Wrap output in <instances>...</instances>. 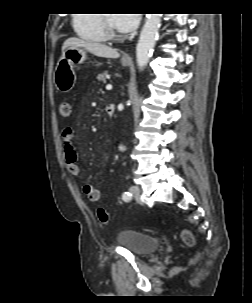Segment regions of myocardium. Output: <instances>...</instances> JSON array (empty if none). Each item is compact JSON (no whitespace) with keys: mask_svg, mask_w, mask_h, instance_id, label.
Segmentation results:
<instances>
[{"mask_svg":"<svg viewBox=\"0 0 252 303\" xmlns=\"http://www.w3.org/2000/svg\"><path fill=\"white\" fill-rule=\"evenodd\" d=\"M102 27L107 38H120L121 34L113 28L107 14H101Z\"/></svg>","mask_w":252,"mask_h":303,"instance_id":"f54148a6","label":"myocardium"}]
</instances>
